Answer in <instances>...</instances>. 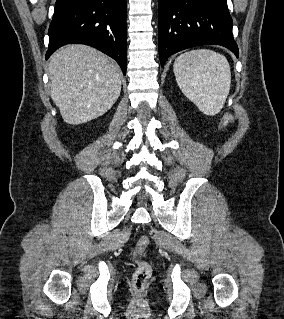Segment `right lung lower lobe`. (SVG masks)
Listing matches in <instances>:
<instances>
[{
    "mask_svg": "<svg viewBox=\"0 0 284 319\" xmlns=\"http://www.w3.org/2000/svg\"><path fill=\"white\" fill-rule=\"evenodd\" d=\"M86 44L112 57L126 74V0H56L46 59L59 47Z\"/></svg>",
    "mask_w": 284,
    "mask_h": 319,
    "instance_id": "right-lung-lower-lobe-1",
    "label": "right lung lower lobe"
}]
</instances>
